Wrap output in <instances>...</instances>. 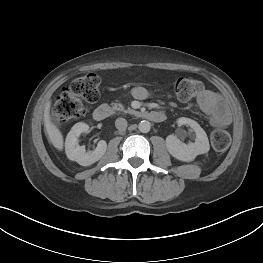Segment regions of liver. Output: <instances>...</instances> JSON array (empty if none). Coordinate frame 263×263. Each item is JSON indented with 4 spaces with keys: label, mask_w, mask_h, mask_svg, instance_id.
Segmentation results:
<instances>
[{
    "label": "liver",
    "mask_w": 263,
    "mask_h": 263,
    "mask_svg": "<svg viewBox=\"0 0 263 263\" xmlns=\"http://www.w3.org/2000/svg\"><path fill=\"white\" fill-rule=\"evenodd\" d=\"M50 107H51V102L48 101L45 105L44 109V126L46 129V132L48 134V138L52 145L57 149V150H62L63 149V135L60 132V130L51 122L50 119Z\"/></svg>",
    "instance_id": "1"
}]
</instances>
